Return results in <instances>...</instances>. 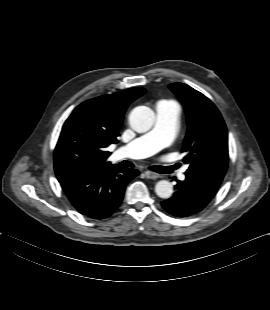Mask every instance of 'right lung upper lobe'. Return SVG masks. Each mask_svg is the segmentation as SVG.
<instances>
[{
  "instance_id": "cb5924a9",
  "label": "right lung upper lobe",
  "mask_w": 270,
  "mask_h": 310,
  "mask_svg": "<svg viewBox=\"0 0 270 310\" xmlns=\"http://www.w3.org/2000/svg\"><path fill=\"white\" fill-rule=\"evenodd\" d=\"M144 88H130L87 100L65 121L54 151L57 178L112 166L107 147L117 143L123 115Z\"/></svg>"
}]
</instances>
